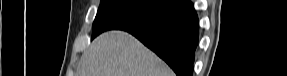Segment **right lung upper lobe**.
Wrapping results in <instances>:
<instances>
[{"label":"right lung upper lobe","mask_w":287,"mask_h":76,"mask_svg":"<svg viewBox=\"0 0 287 76\" xmlns=\"http://www.w3.org/2000/svg\"><path fill=\"white\" fill-rule=\"evenodd\" d=\"M179 0H174L175 3H177Z\"/></svg>","instance_id":"cb5924a9"}]
</instances>
